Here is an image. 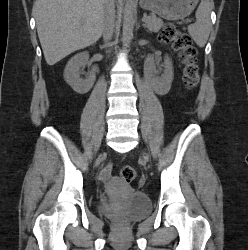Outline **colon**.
<instances>
[{
	"instance_id": "colon-1",
	"label": "colon",
	"mask_w": 248,
	"mask_h": 250,
	"mask_svg": "<svg viewBox=\"0 0 248 250\" xmlns=\"http://www.w3.org/2000/svg\"><path fill=\"white\" fill-rule=\"evenodd\" d=\"M161 40L171 43L181 51L184 62V86L189 90L195 88L199 82V68L196 59L197 52L189 36L182 33L176 26L167 24L162 30ZM119 175L125 183L130 184L136 177V171L132 166L126 165L120 169Z\"/></svg>"
}]
</instances>
